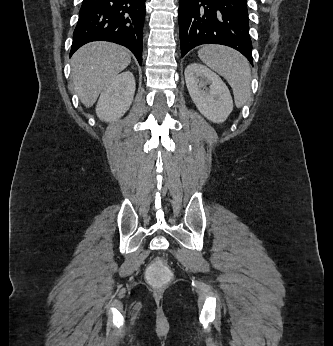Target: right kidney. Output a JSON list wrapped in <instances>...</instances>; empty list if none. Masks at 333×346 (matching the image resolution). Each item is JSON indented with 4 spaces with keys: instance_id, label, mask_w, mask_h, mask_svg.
<instances>
[{
    "instance_id": "1",
    "label": "right kidney",
    "mask_w": 333,
    "mask_h": 346,
    "mask_svg": "<svg viewBox=\"0 0 333 346\" xmlns=\"http://www.w3.org/2000/svg\"><path fill=\"white\" fill-rule=\"evenodd\" d=\"M135 94V79L125 71L112 79L104 88L96 107L102 121L111 122L122 117L129 109Z\"/></svg>"
}]
</instances>
